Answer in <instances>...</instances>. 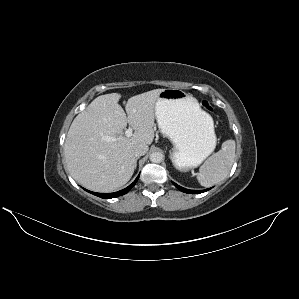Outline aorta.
I'll return each instance as SVG.
<instances>
[{
	"label": "aorta",
	"mask_w": 299,
	"mask_h": 299,
	"mask_svg": "<svg viewBox=\"0 0 299 299\" xmlns=\"http://www.w3.org/2000/svg\"><path fill=\"white\" fill-rule=\"evenodd\" d=\"M150 160L153 163H160L163 161V154L161 152H153L150 155Z\"/></svg>",
	"instance_id": "aorta-1"
}]
</instances>
